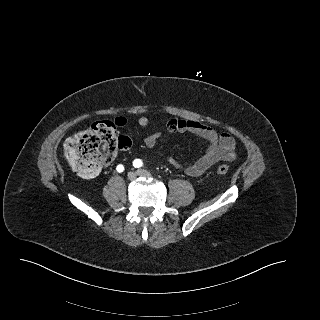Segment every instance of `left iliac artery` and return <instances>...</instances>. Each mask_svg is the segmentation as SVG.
Here are the masks:
<instances>
[{
    "label": "left iliac artery",
    "mask_w": 320,
    "mask_h": 320,
    "mask_svg": "<svg viewBox=\"0 0 320 320\" xmlns=\"http://www.w3.org/2000/svg\"><path fill=\"white\" fill-rule=\"evenodd\" d=\"M143 165V162L140 160V159H135L134 161H133V166L134 167H141Z\"/></svg>",
    "instance_id": "1"
}]
</instances>
